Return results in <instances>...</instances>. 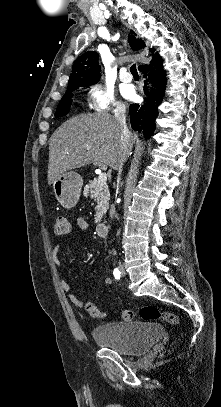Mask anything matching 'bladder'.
Returning <instances> with one entry per match:
<instances>
[{"label": "bladder", "mask_w": 221, "mask_h": 407, "mask_svg": "<svg viewBox=\"0 0 221 407\" xmlns=\"http://www.w3.org/2000/svg\"><path fill=\"white\" fill-rule=\"evenodd\" d=\"M163 331V327L158 324L109 323L95 327L92 336L98 345L115 349L124 355H138L145 353Z\"/></svg>", "instance_id": "obj_1"}]
</instances>
